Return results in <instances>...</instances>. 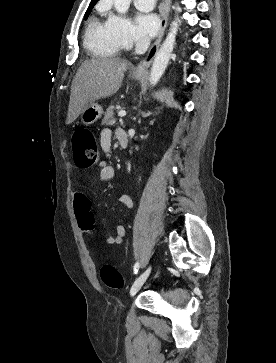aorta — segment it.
<instances>
[{
  "mask_svg": "<svg viewBox=\"0 0 276 363\" xmlns=\"http://www.w3.org/2000/svg\"><path fill=\"white\" fill-rule=\"evenodd\" d=\"M113 2L116 11L122 15L127 13L131 0H113ZM178 27L179 25L177 17L172 22L170 31L154 58L150 72V84L152 86H155L159 82L165 69L167 68L175 45Z\"/></svg>",
  "mask_w": 276,
  "mask_h": 363,
  "instance_id": "1",
  "label": "aorta"
}]
</instances>
